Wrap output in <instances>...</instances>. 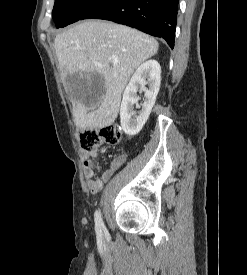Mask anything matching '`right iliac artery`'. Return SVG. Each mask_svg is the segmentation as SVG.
Listing matches in <instances>:
<instances>
[{"instance_id": "1", "label": "right iliac artery", "mask_w": 247, "mask_h": 275, "mask_svg": "<svg viewBox=\"0 0 247 275\" xmlns=\"http://www.w3.org/2000/svg\"><path fill=\"white\" fill-rule=\"evenodd\" d=\"M103 221L99 211L95 212V229L98 236L102 235Z\"/></svg>"}]
</instances>
